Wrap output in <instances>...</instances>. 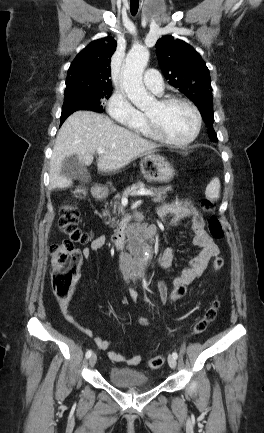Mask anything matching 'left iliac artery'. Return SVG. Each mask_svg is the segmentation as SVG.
<instances>
[{"instance_id": "44dca946", "label": "left iliac artery", "mask_w": 264, "mask_h": 433, "mask_svg": "<svg viewBox=\"0 0 264 433\" xmlns=\"http://www.w3.org/2000/svg\"><path fill=\"white\" fill-rule=\"evenodd\" d=\"M172 356H173L175 359H177L178 354H177L176 352H173V353H172Z\"/></svg>"}]
</instances>
